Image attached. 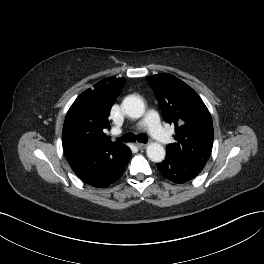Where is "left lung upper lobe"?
Returning <instances> with one entry per match:
<instances>
[{
	"label": "left lung upper lobe",
	"mask_w": 264,
	"mask_h": 264,
	"mask_svg": "<svg viewBox=\"0 0 264 264\" xmlns=\"http://www.w3.org/2000/svg\"><path fill=\"white\" fill-rule=\"evenodd\" d=\"M155 92L164 120L175 126V142L166 154L183 162L204 164L213 146L211 115L198 96L177 77L163 73L147 77Z\"/></svg>",
	"instance_id": "left-lung-upper-lobe-1"
}]
</instances>
